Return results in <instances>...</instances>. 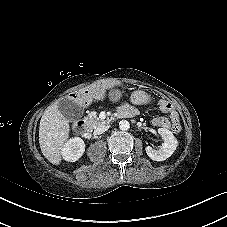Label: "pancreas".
Returning <instances> with one entry per match:
<instances>
[{
    "mask_svg": "<svg viewBox=\"0 0 227 227\" xmlns=\"http://www.w3.org/2000/svg\"><path fill=\"white\" fill-rule=\"evenodd\" d=\"M89 125L92 128L98 127V126H102L103 124H105V122L99 120L94 114H90L88 117L85 118Z\"/></svg>",
    "mask_w": 227,
    "mask_h": 227,
    "instance_id": "cf45deb5",
    "label": "pancreas"
}]
</instances>
